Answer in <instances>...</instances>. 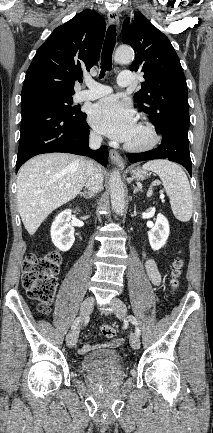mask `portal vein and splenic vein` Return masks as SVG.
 <instances>
[{"label": "portal vein and splenic vein", "instance_id": "portal-vein-and-splenic-vein-1", "mask_svg": "<svg viewBox=\"0 0 213 433\" xmlns=\"http://www.w3.org/2000/svg\"><path fill=\"white\" fill-rule=\"evenodd\" d=\"M151 194H152V192H151V190H150V191H148L147 196H151ZM160 198L163 199V198H164V195H161Z\"/></svg>", "mask_w": 213, "mask_h": 433}]
</instances>
